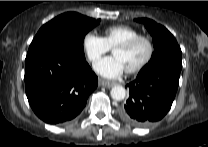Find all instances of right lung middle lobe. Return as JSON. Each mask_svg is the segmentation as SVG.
<instances>
[{"label":"right lung middle lobe","mask_w":208,"mask_h":147,"mask_svg":"<svg viewBox=\"0 0 208 147\" xmlns=\"http://www.w3.org/2000/svg\"><path fill=\"white\" fill-rule=\"evenodd\" d=\"M100 19L67 12L44 24L32 40L27 55L48 49H65L85 59L83 40Z\"/></svg>","instance_id":"obj_1"}]
</instances>
